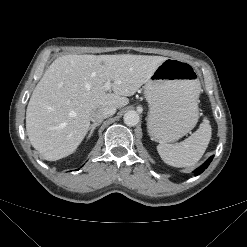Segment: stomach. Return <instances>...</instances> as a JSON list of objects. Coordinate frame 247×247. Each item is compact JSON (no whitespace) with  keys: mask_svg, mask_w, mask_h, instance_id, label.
<instances>
[{"mask_svg":"<svg viewBox=\"0 0 247 247\" xmlns=\"http://www.w3.org/2000/svg\"><path fill=\"white\" fill-rule=\"evenodd\" d=\"M200 83L186 61L168 58L144 86L149 104L147 130L161 144L177 141L198 121Z\"/></svg>","mask_w":247,"mask_h":247,"instance_id":"stomach-1","label":"stomach"}]
</instances>
